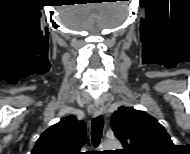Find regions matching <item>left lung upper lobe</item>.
Listing matches in <instances>:
<instances>
[{"mask_svg":"<svg viewBox=\"0 0 190 154\" xmlns=\"http://www.w3.org/2000/svg\"><path fill=\"white\" fill-rule=\"evenodd\" d=\"M123 154H161L173 146L165 128L144 111L121 106L111 121Z\"/></svg>","mask_w":190,"mask_h":154,"instance_id":"1","label":"left lung upper lobe"}]
</instances>
